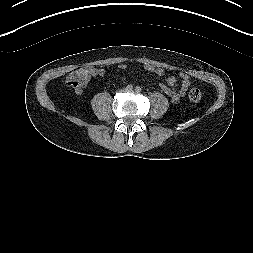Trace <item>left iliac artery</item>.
I'll list each match as a JSON object with an SVG mask.
<instances>
[{"instance_id": "44dca946", "label": "left iliac artery", "mask_w": 253, "mask_h": 253, "mask_svg": "<svg viewBox=\"0 0 253 253\" xmlns=\"http://www.w3.org/2000/svg\"><path fill=\"white\" fill-rule=\"evenodd\" d=\"M135 91H136L137 93H140V92L142 91V88L139 87V86H137V87L135 88Z\"/></svg>"}]
</instances>
